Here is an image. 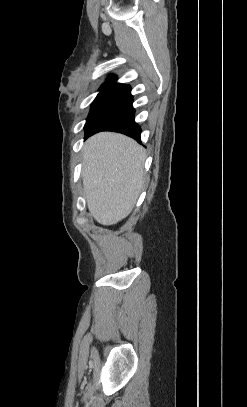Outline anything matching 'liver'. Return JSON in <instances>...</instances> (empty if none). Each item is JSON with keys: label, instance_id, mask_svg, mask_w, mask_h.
Returning a JSON list of instances; mask_svg holds the SVG:
<instances>
[{"label": "liver", "instance_id": "obj_1", "mask_svg": "<svg viewBox=\"0 0 247 407\" xmlns=\"http://www.w3.org/2000/svg\"><path fill=\"white\" fill-rule=\"evenodd\" d=\"M145 151L122 134L102 132L83 148V186L87 206L102 225L115 224L132 211L144 185Z\"/></svg>", "mask_w": 247, "mask_h": 407}]
</instances>
